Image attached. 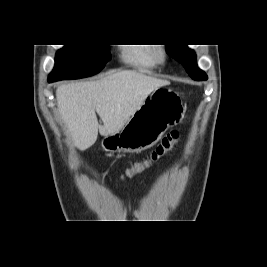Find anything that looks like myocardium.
I'll list each match as a JSON object with an SVG mask.
<instances>
[{
  "label": "myocardium",
  "mask_w": 267,
  "mask_h": 267,
  "mask_svg": "<svg viewBox=\"0 0 267 267\" xmlns=\"http://www.w3.org/2000/svg\"><path fill=\"white\" fill-rule=\"evenodd\" d=\"M166 52L164 49H158L155 52V58L157 62H164L166 60Z\"/></svg>",
  "instance_id": "myocardium-1"
}]
</instances>
